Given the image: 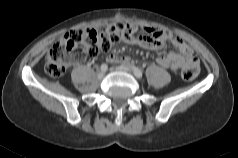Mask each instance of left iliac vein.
Returning <instances> with one entry per match:
<instances>
[{
    "instance_id": "4c4485c4",
    "label": "left iliac vein",
    "mask_w": 238,
    "mask_h": 158,
    "mask_svg": "<svg viewBox=\"0 0 238 158\" xmlns=\"http://www.w3.org/2000/svg\"><path fill=\"white\" fill-rule=\"evenodd\" d=\"M115 70L122 71V72H130L131 71L127 66H124V65L116 67Z\"/></svg>"
}]
</instances>
